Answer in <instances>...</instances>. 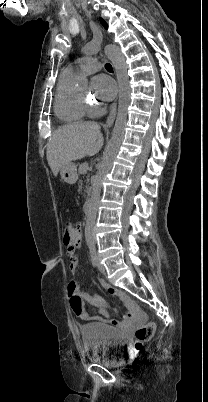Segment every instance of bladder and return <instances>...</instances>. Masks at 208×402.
<instances>
[{
  "label": "bladder",
  "instance_id": "bladder-1",
  "mask_svg": "<svg viewBox=\"0 0 208 402\" xmlns=\"http://www.w3.org/2000/svg\"><path fill=\"white\" fill-rule=\"evenodd\" d=\"M83 347L89 359L98 363H115L113 357L121 352L125 339H122L117 329L109 324L93 323L82 326Z\"/></svg>",
  "mask_w": 208,
  "mask_h": 402
}]
</instances>
